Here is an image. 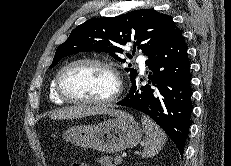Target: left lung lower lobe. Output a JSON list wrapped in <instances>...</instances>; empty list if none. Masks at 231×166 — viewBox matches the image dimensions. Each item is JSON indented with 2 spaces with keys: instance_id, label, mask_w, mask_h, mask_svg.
<instances>
[{
  "instance_id": "0a47b994",
  "label": "left lung lower lobe",
  "mask_w": 231,
  "mask_h": 166,
  "mask_svg": "<svg viewBox=\"0 0 231 166\" xmlns=\"http://www.w3.org/2000/svg\"><path fill=\"white\" fill-rule=\"evenodd\" d=\"M148 83L132 80L129 94L117 104L141 111L169 135L182 155L193 109L191 73L182 31L176 28L169 39L146 61Z\"/></svg>"
}]
</instances>
